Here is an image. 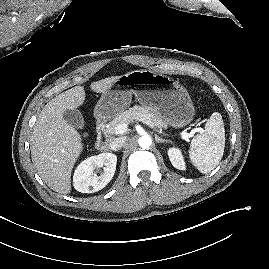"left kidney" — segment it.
I'll use <instances>...</instances> for the list:
<instances>
[{"instance_id":"obj_1","label":"left kidney","mask_w":269,"mask_h":269,"mask_svg":"<svg viewBox=\"0 0 269 269\" xmlns=\"http://www.w3.org/2000/svg\"><path fill=\"white\" fill-rule=\"evenodd\" d=\"M168 156L172 163V165L180 170H185V162L183 159V156L181 154V151L178 148H170L168 150Z\"/></svg>"}]
</instances>
